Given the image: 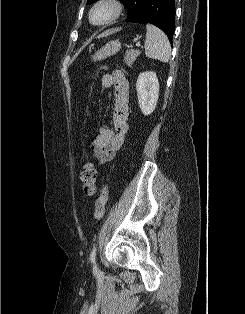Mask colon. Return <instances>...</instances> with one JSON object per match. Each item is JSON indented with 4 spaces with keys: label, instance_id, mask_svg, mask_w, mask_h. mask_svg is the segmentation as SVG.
Segmentation results:
<instances>
[{
    "label": "colon",
    "instance_id": "obj_1",
    "mask_svg": "<svg viewBox=\"0 0 245 314\" xmlns=\"http://www.w3.org/2000/svg\"><path fill=\"white\" fill-rule=\"evenodd\" d=\"M80 179L84 193L88 196L92 195L95 191L97 172L94 164L89 159L83 165ZM107 201L108 188L104 186L96 202L95 218L97 220L103 217Z\"/></svg>",
    "mask_w": 245,
    "mask_h": 314
}]
</instances>
